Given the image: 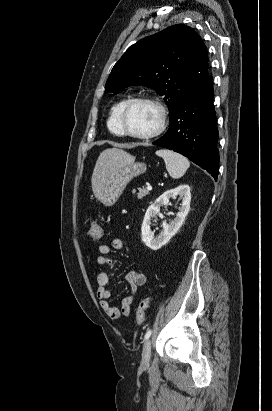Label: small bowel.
I'll list each match as a JSON object with an SVG mask.
<instances>
[{"instance_id":"c3829d8e","label":"small bowel","mask_w":272,"mask_h":411,"mask_svg":"<svg viewBox=\"0 0 272 411\" xmlns=\"http://www.w3.org/2000/svg\"><path fill=\"white\" fill-rule=\"evenodd\" d=\"M123 248V241L121 239H114L111 244L103 243L99 246V254L97 256L98 264L105 267L97 278L98 289L97 296L100 306L105 314L112 320L118 319L122 314L128 316L131 312V305L134 302L135 294L139 287L147 282V275L140 269H131L126 274V280L131 287V294L123 299L121 308L112 306L109 303L111 292L108 288L111 279V270L114 267V260L110 257L113 250H121Z\"/></svg>"}]
</instances>
